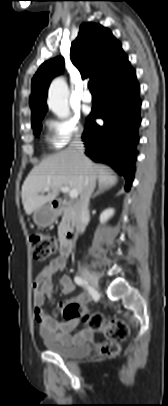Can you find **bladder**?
Returning a JSON list of instances; mask_svg holds the SVG:
<instances>
[{"mask_svg": "<svg viewBox=\"0 0 168 406\" xmlns=\"http://www.w3.org/2000/svg\"><path fill=\"white\" fill-rule=\"evenodd\" d=\"M43 342L48 351L64 358L77 359L90 354L91 348L87 342H76L73 344H60L47 338Z\"/></svg>", "mask_w": 168, "mask_h": 406, "instance_id": "1", "label": "bladder"}]
</instances>
